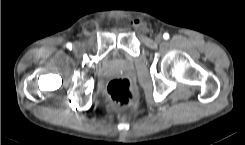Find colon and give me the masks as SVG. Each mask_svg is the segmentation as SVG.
Segmentation results:
<instances>
[{
    "label": "colon",
    "mask_w": 245,
    "mask_h": 145,
    "mask_svg": "<svg viewBox=\"0 0 245 145\" xmlns=\"http://www.w3.org/2000/svg\"><path fill=\"white\" fill-rule=\"evenodd\" d=\"M135 26L139 30H148L150 28L147 23L141 21L135 23ZM107 95L115 106L124 107L134 101V86L128 79H114L107 86Z\"/></svg>",
    "instance_id": "obj_1"
}]
</instances>
